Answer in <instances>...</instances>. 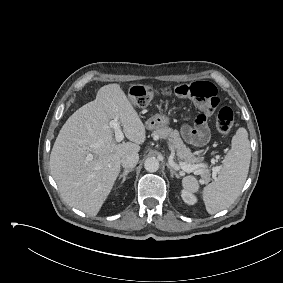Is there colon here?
I'll return each mask as SVG.
<instances>
[{
	"mask_svg": "<svg viewBox=\"0 0 283 283\" xmlns=\"http://www.w3.org/2000/svg\"><path fill=\"white\" fill-rule=\"evenodd\" d=\"M162 93H174L179 97H189L196 101L207 113L213 112L219 105L220 99L216 87L208 81H195L176 86L173 90L165 88ZM155 89L146 84L135 85L130 89L129 98L137 108H144L150 104ZM234 116L229 107L218 110L215 120L216 130L220 134H227L233 126Z\"/></svg>",
	"mask_w": 283,
	"mask_h": 283,
	"instance_id": "1",
	"label": "colon"
}]
</instances>
